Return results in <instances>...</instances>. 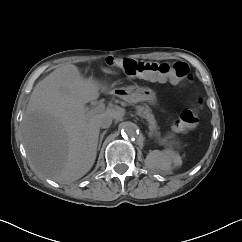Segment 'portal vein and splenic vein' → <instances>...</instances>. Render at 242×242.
<instances>
[{
	"mask_svg": "<svg viewBox=\"0 0 242 242\" xmlns=\"http://www.w3.org/2000/svg\"><path fill=\"white\" fill-rule=\"evenodd\" d=\"M106 109V106L104 103L98 104L94 109L90 110L88 114H95L99 112H103Z\"/></svg>",
	"mask_w": 242,
	"mask_h": 242,
	"instance_id": "obj_1",
	"label": "portal vein and splenic vein"
}]
</instances>
